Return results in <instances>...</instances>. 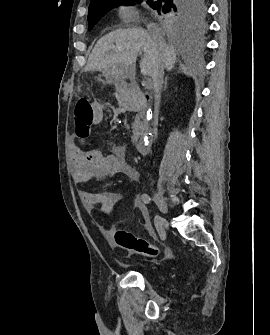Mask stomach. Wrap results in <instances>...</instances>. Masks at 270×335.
I'll return each mask as SVG.
<instances>
[{
  "label": "stomach",
  "mask_w": 270,
  "mask_h": 335,
  "mask_svg": "<svg viewBox=\"0 0 270 335\" xmlns=\"http://www.w3.org/2000/svg\"><path fill=\"white\" fill-rule=\"evenodd\" d=\"M112 74H114V70H111Z\"/></svg>",
  "instance_id": "stomach-1"
}]
</instances>
